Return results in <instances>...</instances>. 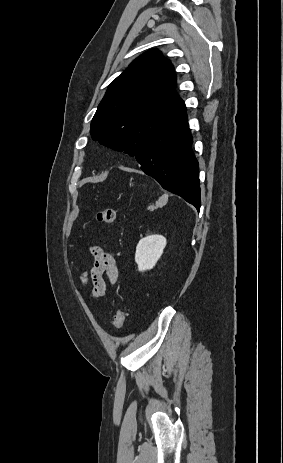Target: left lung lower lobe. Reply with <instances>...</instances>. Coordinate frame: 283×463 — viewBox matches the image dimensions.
Wrapping results in <instances>:
<instances>
[{"mask_svg": "<svg viewBox=\"0 0 283 463\" xmlns=\"http://www.w3.org/2000/svg\"><path fill=\"white\" fill-rule=\"evenodd\" d=\"M186 110L158 130L136 154L145 174L200 210L198 161L192 149Z\"/></svg>", "mask_w": 283, "mask_h": 463, "instance_id": "0a47b994", "label": "left lung lower lobe"}]
</instances>
